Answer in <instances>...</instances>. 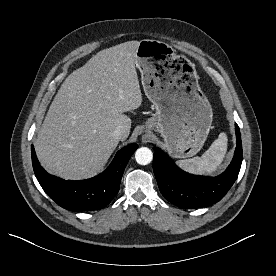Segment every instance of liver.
I'll return each instance as SVG.
<instances>
[{
  "mask_svg": "<svg viewBox=\"0 0 276 276\" xmlns=\"http://www.w3.org/2000/svg\"><path fill=\"white\" fill-rule=\"evenodd\" d=\"M138 45L128 41L101 50L64 80L35 141L37 157L50 174L66 180L94 177L118 145L114 130L122 125L129 135L131 119L124 112L142 103Z\"/></svg>",
  "mask_w": 276,
  "mask_h": 276,
  "instance_id": "obj_1",
  "label": "liver"
}]
</instances>
